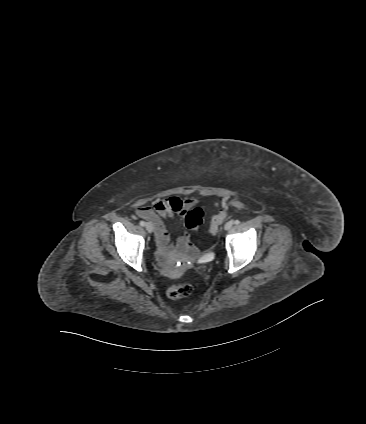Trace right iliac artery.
<instances>
[{
  "instance_id": "82829eb1",
  "label": "right iliac artery",
  "mask_w": 366,
  "mask_h": 424,
  "mask_svg": "<svg viewBox=\"0 0 366 424\" xmlns=\"http://www.w3.org/2000/svg\"><path fill=\"white\" fill-rule=\"evenodd\" d=\"M140 225L141 226H145V222L144 221H140Z\"/></svg>"
}]
</instances>
